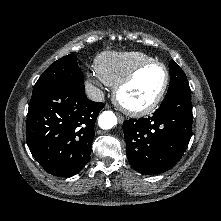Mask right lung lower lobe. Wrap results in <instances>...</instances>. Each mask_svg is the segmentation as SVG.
I'll return each mask as SVG.
<instances>
[{"instance_id":"1","label":"right lung lower lobe","mask_w":221,"mask_h":221,"mask_svg":"<svg viewBox=\"0 0 221 221\" xmlns=\"http://www.w3.org/2000/svg\"><path fill=\"white\" fill-rule=\"evenodd\" d=\"M103 103L80 89L62 84L31 100L26 122L27 145L38 163L54 176L69 177L88 163L94 125Z\"/></svg>"}]
</instances>
